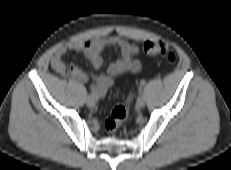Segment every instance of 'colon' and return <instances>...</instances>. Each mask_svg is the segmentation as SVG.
Here are the masks:
<instances>
[{
	"mask_svg": "<svg viewBox=\"0 0 231 170\" xmlns=\"http://www.w3.org/2000/svg\"><path fill=\"white\" fill-rule=\"evenodd\" d=\"M144 51L149 55L163 56L169 63H174L177 59L176 53L169 46L159 40L147 41L144 44ZM130 116L129 106L120 105L113 109L110 116L105 121V129L107 132L113 133L118 127L126 122Z\"/></svg>",
	"mask_w": 231,
	"mask_h": 170,
	"instance_id": "colon-1",
	"label": "colon"
}]
</instances>
